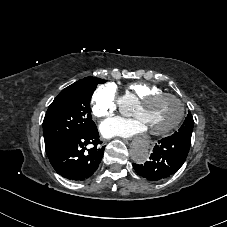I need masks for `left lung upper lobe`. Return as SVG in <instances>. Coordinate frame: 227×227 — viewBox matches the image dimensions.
<instances>
[{
	"instance_id": "1",
	"label": "left lung upper lobe",
	"mask_w": 227,
	"mask_h": 227,
	"mask_svg": "<svg viewBox=\"0 0 227 227\" xmlns=\"http://www.w3.org/2000/svg\"><path fill=\"white\" fill-rule=\"evenodd\" d=\"M193 127H194V120L191 113L189 112L182 126L172 136L191 139Z\"/></svg>"
}]
</instances>
